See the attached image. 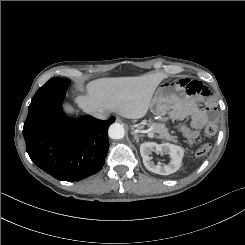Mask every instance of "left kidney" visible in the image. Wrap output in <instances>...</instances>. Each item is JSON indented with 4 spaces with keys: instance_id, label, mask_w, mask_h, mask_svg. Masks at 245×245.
<instances>
[{
    "instance_id": "obj_1",
    "label": "left kidney",
    "mask_w": 245,
    "mask_h": 245,
    "mask_svg": "<svg viewBox=\"0 0 245 245\" xmlns=\"http://www.w3.org/2000/svg\"><path fill=\"white\" fill-rule=\"evenodd\" d=\"M153 151L170 155V162L167 165H163L160 162L155 164L149 156ZM140 154L144 166L149 171L160 175H169L175 173L180 168L184 151L181 147L170 143L157 144L146 142L140 145Z\"/></svg>"
}]
</instances>
